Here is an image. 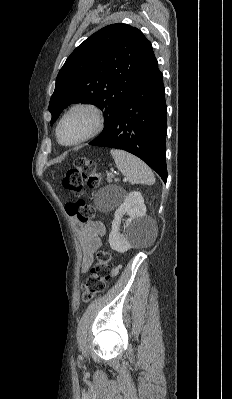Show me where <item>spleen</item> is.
Returning <instances> with one entry per match:
<instances>
[{"label":"spleen","instance_id":"spleen-1","mask_svg":"<svg viewBox=\"0 0 232 399\" xmlns=\"http://www.w3.org/2000/svg\"><path fill=\"white\" fill-rule=\"evenodd\" d=\"M111 156L115 160V164L126 178V182L130 184H147L153 186L155 178L152 170L141 162L136 156L124 152V150H110Z\"/></svg>","mask_w":232,"mask_h":399}]
</instances>
